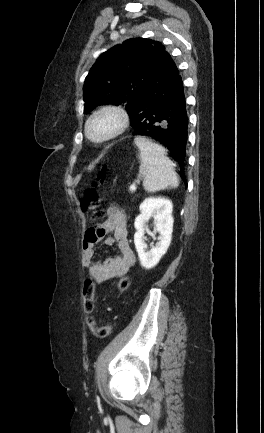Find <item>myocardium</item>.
<instances>
[{
	"instance_id": "f54148a6",
	"label": "myocardium",
	"mask_w": 264,
	"mask_h": 433,
	"mask_svg": "<svg viewBox=\"0 0 264 433\" xmlns=\"http://www.w3.org/2000/svg\"><path fill=\"white\" fill-rule=\"evenodd\" d=\"M104 117L113 118V126L103 133L94 134L92 132L93 124ZM129 124L130 117L125 109L116 105L102 106L95 110L85 121L84 136L93 144H103L123 134L128 128Z\"/></svg>"
}]
</instances>
